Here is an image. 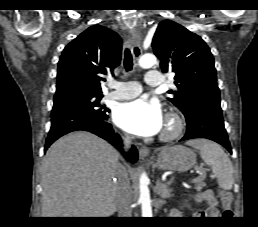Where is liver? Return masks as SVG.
<instances>
[{
  "label": "liver",
  "instance_id": "6515ba94",
  "mask_svg": "<svg viewBox=\"0 0 258 227\" xmlns=\"http://www.w3.org/2000/svg\"><path fill=\"white\" fill-rule=\"evenodd\" d=\"M118 152L85 131L47 150L41 167L42 217H109L116 207Z\"/></svg>",
  "mask_w": 258,
  "mask_h": 227
}]
</instances>
